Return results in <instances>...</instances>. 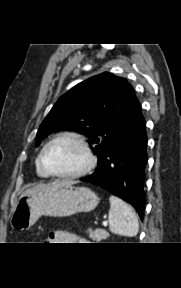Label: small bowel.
Masks as SVG:
<instances>
[{
	"instance_id": "obj_1",
	"label": "small bowel",
	"mask_w": 181,
	"mask_h": 288,
	"mask_svg": "<svg viewBox=\"0 0 181 288\" xmlns=\"http://www.w3.org/2000/svg\"><path fill=\"white\" fill-rule=\"evenodd\" d=\"M82 241V238L74 237L72 234L66 231H54L48 236V243H72Z\"/></svg>"
}]
</instances>
